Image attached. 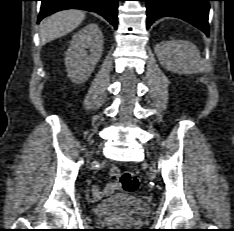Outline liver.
<instances>
[{
    "mask_svg": "<svg viewBox=\"0 0 234 231\" xmlns=\"http://www.w3.org/2000/svg\"><path fill=\"white\" fill-rule=\"evenodd\" d=\"M85 19V13L80 10H65L57 12L40 24L41 44L65 36L76 29Z\"/></svg>",
    "mask_w": 234,
    "mask_h": 231,
    "instance_id": "obj_1",
    "label": "liver"
}]
</instances>
